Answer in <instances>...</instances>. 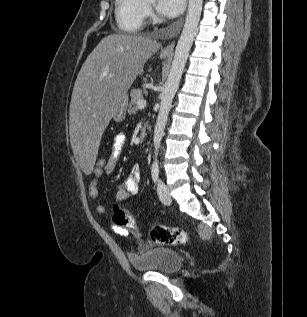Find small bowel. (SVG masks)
<instances>
[{"label":"small bowel","instance_id":"obj_1","mask_svg":"<svg viewBox=\"0 0 307 317\" xmlns=\"http://www.w3.org/2000/svg\"><path fill=\"white\" fill-rule=\"evenodd\" d=\"M126 145V136L124 133H118L112 144L111 154L108 158V161L104 168L94 169L91 172V181L89 185V195L93 200H96L98 197V184L100 179L105 175H110L115 170L119 159L122 155L124 147ZM140 180H141V169L139 166H134L127 176L126 180L122 185L117 188L116 197L119 201H126L131 195H136L140 189ZM95 210L98 214L106 215L107 209L101 204L97 203L95 205ZM113 230L122 236L128 235V230L123 229L118 226H113Z\"/></svg>","mask_w":307,"mask_h":317}]
</instances>
